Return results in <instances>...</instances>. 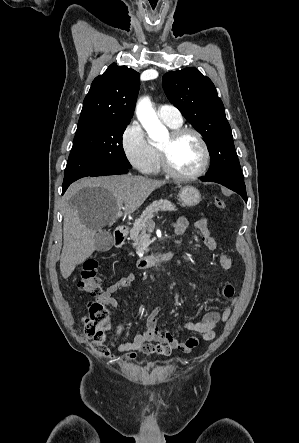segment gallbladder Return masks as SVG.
Here are the masks:
<instances>
[{
	"instance_id": "bac80fb5",
	"label": "gallbladder",
	"mask_w": 299,
	"mask_h": 443,
	"mask_svg": "<svg viewBox=\"0 0 299 443\" xmlns=\"http://www.w3.org/2000/svg\"><path fill=\"white\" fill-rule=\"evenodd\" d=\"M114 239L109 231H99L95 236L96 250L106 252L113 246Z\"/></svg>"
}]
</instances>
